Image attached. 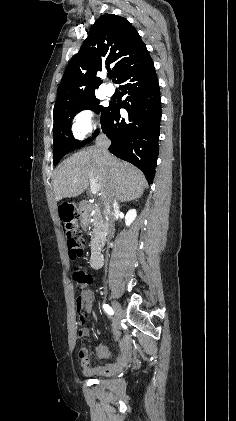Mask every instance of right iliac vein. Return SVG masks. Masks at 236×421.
<instances>
[{
  "label": "right iliac vein",
  "instance_id": "63e3f726",
  "mask_svg": "<svg viewBox=\"0 0 236 421\" xmlns=\"http://www.w3.org/2000/svg\"><path fill=\"white\" fill-rule=\"evenodd\" d=\"M113 308L116 316V320L114 322L115 327L118 329L120 326V321L123 318V310L121 305L118 302H113Z\"/></svg>",
  "mask_w": 236,
  "mask_h": 421
}]
</instances>
